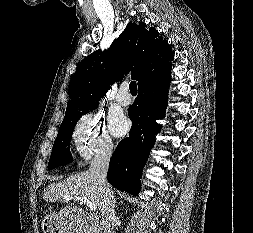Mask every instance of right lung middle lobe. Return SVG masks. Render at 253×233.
<instances>
[{"mask_svg": "<svg viewBox=\"0 0 253 233\" xmlns=\"http://www.w3.org/2000/svg\"><path fill=\"white\" fill-rule=\"evenodd\" d=\"M97 106L98 105H95L83 112L63 119L50 156L48 165L50 170L72 162L69 144L71 141L74 127L82 115L86 114L89 110H94V108H97Z\"/></svg>", "mask_w": 253, "mask_h": 233, "instance_id": "dd1d6c3e", "label": "right lung middle lobe"}]
</instances>
